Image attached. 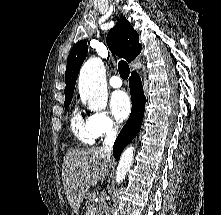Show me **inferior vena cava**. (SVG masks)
Wrapping results in <instances>:
<instances>
[{"instance_id":"obj_1","label":"inferior vena cava","mask_w":221,"mask_h":215,"mask_svg":"<svg viewBox=\"0 0 221 215\" xmlns=\"http://www.w3.org/2000/svg\"><path fill=\"white\" fill-rule=\"evenodd\" d=\"M116 137H117V129L116 128L109 129L106 133V138L104 139L103 146L101 147V153L108 160L111 159L112 148L116 140ZM99 215H109L108 206L106 204L102 206Z\"/></svg>"}]
</instances>
